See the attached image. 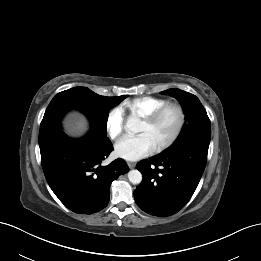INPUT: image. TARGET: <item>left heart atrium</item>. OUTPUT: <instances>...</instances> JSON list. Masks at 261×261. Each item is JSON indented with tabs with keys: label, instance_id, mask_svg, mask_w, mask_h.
Segmentation results:
<instances>
[{
	"label": "left heart atrium",
	"instance_id": "obj_1",
	"mask_svg": "<svg viewBox=\"0 0 261 261\" xmlns=\"http://www.w3.org/2000/svg\"><path fill=\"white\" fill-rule=\"evenodd\" d=\"M153 148L145 134H127L116 142L115 153L118 157L134 161L150 154Z\"/></svg>",
	"mask_w": 261,
	"mask_h": 261
}]
</instances>
